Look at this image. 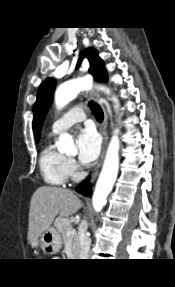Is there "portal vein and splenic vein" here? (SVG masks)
Returning <instances> with one entry per match:
<instances>
[{
    "label": "portal vein and splenic vein",
    "mask_w": 175,
    "mask_h": 287,
    "mask_svg": "<svg viewBox=\"0 0 175 287\" xmlns=\"http://www.w3.org/2000/svg\"><path fill=\"white\" fill-rule=\"evenodd\" d=\"M75 232H76L75 229L72 228L71 230L67 231V235L70 236V235L74 234Z\"/></svg>",
    "instance_id": "portal-vein-and-splenic-vein-1"
}]
</instances>
